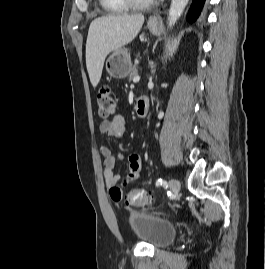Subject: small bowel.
I'll return each instance as SVG.
<instances>
[{
  "label": "small bowel",
  "instance_id": "c3829d8e",
  "mask_svg": "<svg viewBox=\"0 0 265 269\" xmlns=\"http://www.w3.org/2000/svg\"><path fill=\"white\" fill-rule=\"evenodd\" d=\"M127 129L125 119L117 115L112 120H104L99 125L102 134L112 137H122ZM100 153L104 158V179L110 187L118 186L120 176L115 172L117 163L122 159V155H114L108 146H101ZM141 157L139 154H131L129 156V171L124 179L125 184H129L137 180L141 170ZM115 201L119 199L113 198Z\"/></svg>",
  "mask_w": 265,
  "mask_h": 269
}]
</instances>
